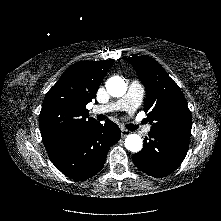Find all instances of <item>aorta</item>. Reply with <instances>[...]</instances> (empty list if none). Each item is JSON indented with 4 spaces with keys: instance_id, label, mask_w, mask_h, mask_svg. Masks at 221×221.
<instances>
[{
    "instance_id": "1",
    "label": "aorta",
    "mask_w": 221,
    "mask_h": 221,
    "mask_svg": "<svg viewBox=\"0 0 221 221\" xmlns=\"http://www.w3.org/2000/svg\"><path fill=\"white\" fill-rule=\"evenodd\" d=\"M107 92L113 97H122L127 90L125 81L119 76H113L106 82ZM142 138L137 134H129L125 138V147L131 152H139L142 149Z\"/></svg>"
}]
</instances>
